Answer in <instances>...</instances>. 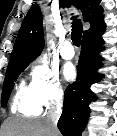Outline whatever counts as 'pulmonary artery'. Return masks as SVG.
<instances>
[{"instance_id": "obj_1", "label": "pulmonary artery", "mask_w": 117, "mask_h": 136, "mask_svg": "<svg viewBox=\"0 0 117 136\" xmlns=\"http://www.w3.org/2000/svg\"><path fill=\"white\" fill-rule=\"evenodd\" d=\"M60 53L64 59H72L74 57L75 50L69 40L63 42Z\"/></svg>"}]
</instances>
